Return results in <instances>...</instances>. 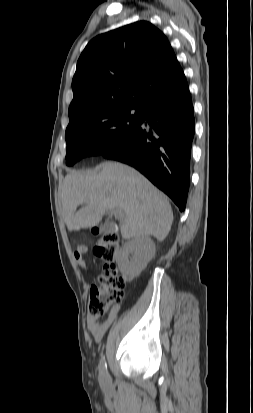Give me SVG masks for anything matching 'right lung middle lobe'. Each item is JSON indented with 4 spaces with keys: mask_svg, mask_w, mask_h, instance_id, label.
I'll return each mask as SVG.
<instances>
[{
    "mask_svg": "<svg viewBox=\"0 0 253 413\" xmlns=\"http://www.w3.org/2000/svg\"><path fill=\"white\" fill-rule=\"evenodd\" d=\"M142 122V109L133 106L103 108L70 121L65 134L66 164L110 150Z\"/></svg>",
    "mask_w": 253,
    "mask_h": 413,
    "instance_id": "dd1d6c3e",
    "label": "right lung middle lobe"
}]
</instances>
